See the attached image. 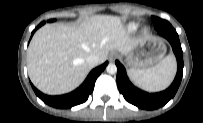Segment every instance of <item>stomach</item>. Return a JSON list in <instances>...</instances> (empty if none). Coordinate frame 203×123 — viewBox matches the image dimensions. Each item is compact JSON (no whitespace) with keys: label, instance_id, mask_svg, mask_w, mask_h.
Returning <instances> with one entry per match:
<instances>
[{"label":"stomach","instance_id":"stomach-1","mask_svg":"<svg viewBox=\"0 0 203 123\" xmlns=\"http://www.w3.org/2000/svg\"><path fill=\"white\" fill-rule=\"evenodd\" d=\"M166 54V45L160 38L142 39L129 53L125 54L126 64L131 69H147L157 65Z\"/></svg>","mask_w":203,"mask_h":123}]
</instances>
